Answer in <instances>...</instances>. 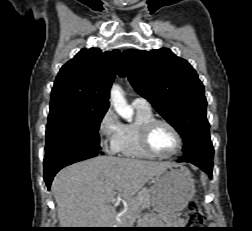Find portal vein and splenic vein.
<instances>
[{"label":"portal vein and splenic vein","mask_w":252,"mask_h":231,"mask_svg":"<svg viewBox=\"0 0 252 231\" xmlns=\"http://www.w3.org/2000/svg\"><path fill=\"white\" fill-rule=\"evenodd\" d=\"M115 200H116L115 194H111V195L108 196V198L106 199V202H107V203H110V202H114Z\"/></svg>","instance_id":"portal-vein-and-splenic-vein-1"}]
</instances>
